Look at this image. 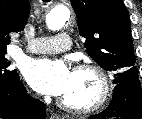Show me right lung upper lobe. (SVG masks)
Instances as JSON below:
<instances>
[{
    "label": "right lung upper lobe",
    "mask_w": 142,
    "mask_h": 119,
    "mask_svg": "<svg viewBox=\"0 0 142 119\" xmlns=\"http://www.w3.org/2000/svg\"><path fill=\"white\" fill-rule=\"evenodd\" d=\"M29 12L28 0H0V51L11 42L10 33L24 29Z\"/></svg>",
    "instance_id": "cb5924a9"
}]
</instances>
